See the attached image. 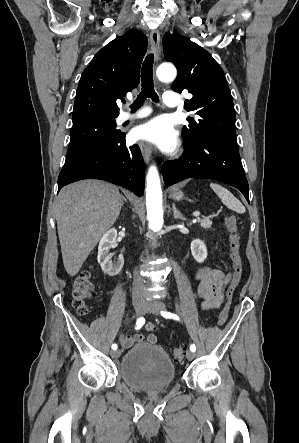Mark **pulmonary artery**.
<instances>
[{
    "instance_id": "e3ab8cb5",
    "label": "pulmonary artery",
    "mask_w": 299,
    "mask_h": 443,
    "mask_svg": "<svg viewBox=\"0 0 299 443\" xmlns=\"http://www.w3.org/2000/svg\"><path fill=\"white\" fill-rule=\"evenodd\" d=\"M163 102L166 106L171 107V108H175L179 105L180 100H179V96L176 93L166 91L163 94ZM148 113H149L148 109L140 110L134 114L123 112L119 116V121L125 122V121L131 120V119L142 118V117L146 116Z\"/></svg>"
}]
</instances>
